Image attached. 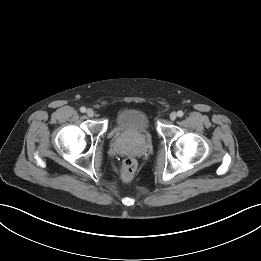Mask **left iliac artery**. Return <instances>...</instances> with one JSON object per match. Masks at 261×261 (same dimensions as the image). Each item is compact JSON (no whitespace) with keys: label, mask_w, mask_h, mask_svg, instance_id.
Listing matches in <instances>:
<instances>
[{"label":"left iliac artery","mask_w":261,"mask_h":261,"mask_svg":"<svg viewBox=\"0 0 261 261\" xmlns=\"http://www.w3.org/2000/svg\"><path fill=\"white\" fill-rule=\"evenodd\" d=\"M183 115H184L183 111L180 110V111L177 112L178 117H183Z\"/></svg>","instance_id":"1"}]
</instances>
